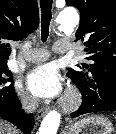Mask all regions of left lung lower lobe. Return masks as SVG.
<instances>
[{
	"instance_id": "obj_1",
	"label": "left lung lower lobe",
	"mask_w": 116,
	"mask_h": 134,
	"mask_svg": "<svg viewBox=\"0 0 116 134\" xmlns=\"http://www.w3.org/2000/svg\"><path fill=\"white\" fill-rule=\"evenodd\" d=\"M71 79L78 87L76 81L73 78ZM101 111H116V92L104 93L91 99H87L82 96V104L80 108L76 112L72 113L71 117L75 118L82 114Z\"/></svg>"
}]
</instances>
